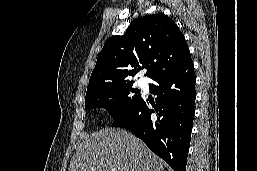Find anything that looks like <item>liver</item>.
I'll return each instance as SVG.
<instances>
[{
  "label": "liver",
  "mask_w": 257,
  "mask_h": 171,
  "mask_svg": "<svg viewBox=\"0 0 257 171\" xmlns=\"http://www.w3.org/2000/svg\"><path fill=\"white\" fill-rule=\"evenodd\" d=\"M163 162L143 141L122 129L85 136L68 171H162Z\"/></svg>",
  "instance_id": "obj_1"
}]
</instances>
